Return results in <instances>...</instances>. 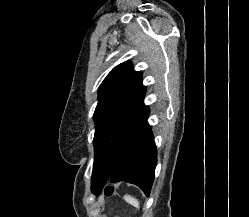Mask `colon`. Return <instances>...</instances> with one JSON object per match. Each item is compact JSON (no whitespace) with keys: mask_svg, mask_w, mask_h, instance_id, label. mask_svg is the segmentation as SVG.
Returning <instances> with one entry per match:
<instances>
[{"mask_svg":"<svg viewBox=\"0 0 249 217\" xmlns=\"http://www.w3.org/2000/svg\"><path fill=\"white\" fill-rule=\"evenodd\" d=\"M114 195H115L114 189L111 188V187H107L106 190H105V196L112 197Z\"/></svg>","mask_w":249,"mask_h":217,"instance_id":"1","label":"colon"}]
</instances>
